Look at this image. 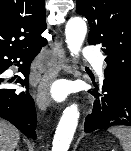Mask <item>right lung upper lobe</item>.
<instances>
[{"label": "right lung upper lobe", "mask_w": 131, "mask_h": 151, "mask_svg": "<svg viewBox=\"0 0 131 151\" xmlns=\"http://www.w3.org/2000/svg\"><path fill=\"white\" fill-rule=\"evenodd\" d=\"M44 0H0V52L46 44Z\"/></svg>", "instance_id": "cb5924a9"}]
</instances>
